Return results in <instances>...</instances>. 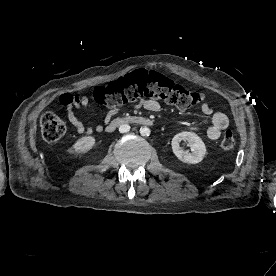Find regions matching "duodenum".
Instances as JSON below:
<instances>
[{
    "label": "duodenum",
    "instance_id": "duodenum-1",
    "mask_svg": "<svg viewBox=\"0 0 276 276\" xmlns=\"http://www.w3.org/2000/svg\"><path fill=\"white\" fill-rule=\"evenodd\" d=\"M123 124L151 126L152 121L149 118L142 117V116H135V115L121 116L110 121L106 126V131L112 132L118 126Z\"/></svg>",
    "mask_w": 276,
    "mask_h": 276
}]
</instances>
